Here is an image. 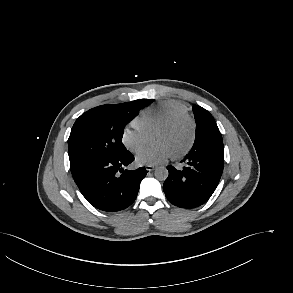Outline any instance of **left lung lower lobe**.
I'll list each match as a JSON object with an SVG mask.
<instances>
[{
  "instance_id": "left-lung-lower-lobe-1",
  "label": "left lung lower lobe",
  "mask_w": 293,
  "mask_h": 293,
  "mask_svg": "<svg viewBox=\"0 0 293 293\" xmlns=\"http://www.w3.org/2000/svg\"><path fill=\"white\" fill-rule=\"evenodd\" d=\"M182 162L183 169L168 166L169 176L163 189L167 199L182 208L205 203L215 191L224 166L223 147L202 143L192 147Z\"/></svg>"
}]
</instances>
